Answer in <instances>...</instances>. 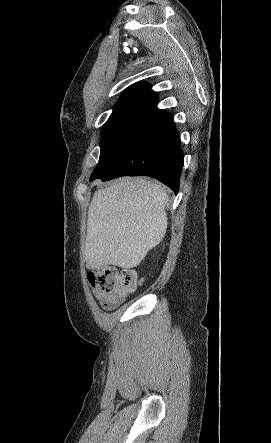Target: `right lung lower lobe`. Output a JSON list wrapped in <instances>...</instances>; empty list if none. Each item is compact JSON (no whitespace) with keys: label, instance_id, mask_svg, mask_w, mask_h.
<instances>
[{"label":"right lung lower lobe","instance_id":"1","mask_svg":"<svg viewBox=\"0 0 271 443\" xmlns=\"http://www.w3.org/2000/svg\"><path fill=\"white\" fill-rule=\"evenodd\" d=\"M182 167L183 152L173 117L154 106L129 132L109 164L90 180L145 175L177 194Z\"/></svg>","mask_w":271,"mask_h":443}]
</instances>
